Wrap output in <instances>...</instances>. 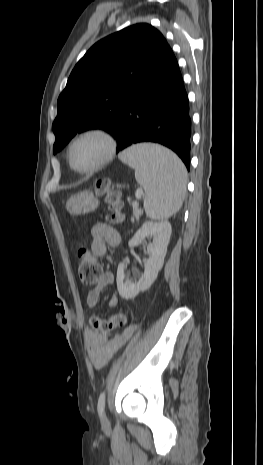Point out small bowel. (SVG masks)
Wrapping results in <instances>:
<instances>
[{"label":"small bowel","mask_w":263,"mask_h":465,"mask_svg":"<svg viewBox=\"0 0 263 465\" xmlns=\"http://www.w3.org/2000/svg\"><path fill=\"white\" fill-rule=\"evenodd\" d=\"M91 234L93 237L91 249L93 254L97 257L104 256L108 246H116L120 242L119 232L102 222L93 225ZM113 281L114 277L111 272L102 274L96 288L89 291L87 294L86 302L89 310L97 306L102 290L106 286L112 284ZM118 304L119 297L113 295L108 302L109 307L114 308ZM136 330H138V325H130L129 328L121 334L110 337L107 334L98 333L92 329H86L85 342L88 355L93 365L97 369L104 367L117 350L126 342L129 336L136 333Z\"/></svg>","instance_id":"obj_1"}]
</instances>
